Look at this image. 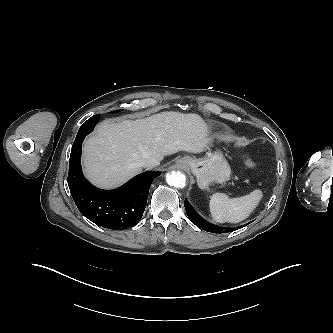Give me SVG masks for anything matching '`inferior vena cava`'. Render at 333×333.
<instances>
[{"instance_id":"inferior-vena-cava-1","label":"inferior vena cava","mask_w":333,"mask_h":333,"mask_svg":"<svg viewBox=\"0 0 333 333\" xmlns=\"http://www.w3.org/2000/svg\"><path fill=\"white\" fill-rule=\"evenodd\" d=\"M159 164H160L159 161L156 159H153V158L145 159V160L141 161V163H140V165L142 167L149 168V169L155 168V167L159 166Z\"/></svg>"}]
</instances>
